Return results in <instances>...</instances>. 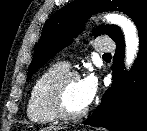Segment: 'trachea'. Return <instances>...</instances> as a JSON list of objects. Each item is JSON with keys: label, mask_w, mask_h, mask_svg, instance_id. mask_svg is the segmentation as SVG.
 <instances>
[{"label": "trachea", "mask_w": 147, "mask_h": 131, "mask_svg": "<svg viewBox=\"0 0 147 131\" xmlns=\"http://www.w3.org/2000/svg\"><path fill=\"white\" fill-rule=\"evenodd\" d=\"M103 57H111V54H110V53H105V54L103 55Z\"/></svg>", "instance_id": "obj_1"}]
</instances>
